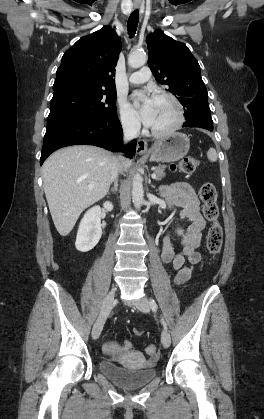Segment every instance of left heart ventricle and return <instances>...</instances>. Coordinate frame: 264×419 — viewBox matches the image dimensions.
<instances>
[{
    "instance_id": "obj_1",
    "label": "left heart ventricle",
    "mask_w": 264,
    "mask_h": 419,
    "mask_svg": "<svg viewBox=\"0 0 264 419\" xmlns=\"http://www.w3.org/2000/svg\"><path fill=\"white\" fill-rule=\"evenodd\" d=\"M175 120V108L166 99L156 98V117L151 126L156 130H164L171 126Z\"/></svg>"
}]
</instances>
